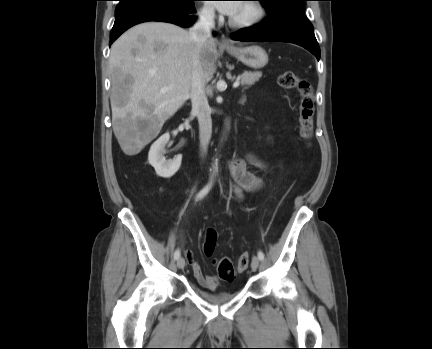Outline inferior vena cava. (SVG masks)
Here are the masks:
<instances>
[{"label":"inferior vena cava","mask_w":432,"mask_h":349,"mask_svg":"<svg viewBox=\"0 0 432 349\" xmlns=\"http://www.w3.org/2000/svg\"><path fill=\"white\" fill-rule=\"evenodd\" d=\"M214 10L203 9L198 14V19L189 30L191 39L200 48L205 42L212 39L214 28ZM206 80L201 63L194 55L192 62V78L189 97L192 102V112L196 114L199 122L200 147L205 152L212 134L211 110L205 94Z\"/></svg>","instance_id":"obj_1"}]
</instances>
